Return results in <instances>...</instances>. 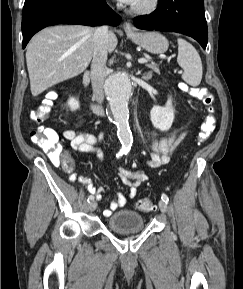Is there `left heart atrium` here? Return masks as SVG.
<instances>
[{"mask_svg":"<svg viewBox=\"0 0 243 289\" xmlns=\"http://www.w3.org/2000/svg\"><path fill=\"white\" fill-rule=\"evenodd\" d=\"M119 1L129 5H133L136 2V0H119Z\"/></svg>","mask_w":243,"mask_h":289,"instance_id":"obj_1","label":"left heart atrium"}]
</instances>
